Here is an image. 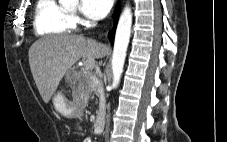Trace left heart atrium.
<instances>
[{"label": "left heart atrium", "mask_w": 227, "mask_h": 142, "mask_svg": "<svg viewBox=\"0 0 227 142\" xmlns=\"http://www.w3.org/2000/svg\"><path fill=\"white\" fill-rule=\"evenodd\" d=\"M112 3L113 0H81V10L87 17L98 20L108 14Z\"/></svg>", "instance_id": "obj_1"}]
</instances>
